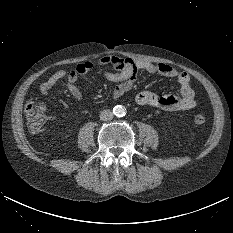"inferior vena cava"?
Returning <instances> with one entry per match:
<instances>
[{
	"label": "inferior vena cava",
	"instance_id": "602c4592",
	"mask_svg": "<svg viewBox=\"0 0 233 233\" xmlns=\"http://www.w3.org/2000/svg\"><path fill=\"white\" fill-rule=\"evenodd\" d=\"M102 121H108L113 119V113L110 110H103L99 115Z\"/></svg>",
	"mask_w": 233,
	"mask_h": 233
}]
</instances>
